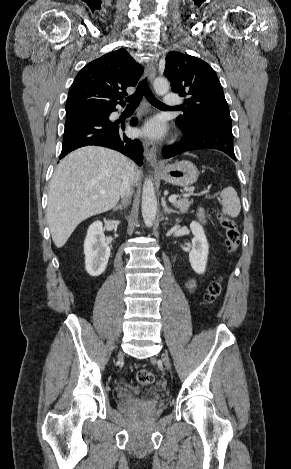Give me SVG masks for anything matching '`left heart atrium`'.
Wrapping results in <instances>:
<instances>
[{"mask_svg":"<svg viewBox=\"0 0 291 469\" xmlns=\"http://www.w3.org/2000/svg\"><path fill=\"white\" fill-rule=\"evenodd\" d=\"M142 133L149 138H160L164 135L165 129L160 119L153 118L145 124Z\"/></svg>","mask_w":291,"mask_h":469,"instance_id":"39dd6f15","label":"left heart atrium"}]
</instances>
